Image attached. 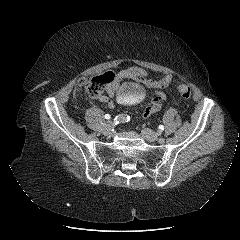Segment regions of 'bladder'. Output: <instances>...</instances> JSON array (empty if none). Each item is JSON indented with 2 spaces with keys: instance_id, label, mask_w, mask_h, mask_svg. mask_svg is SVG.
Here are the masks:
<instances>
[{
  "instance_id": "1",
  "label": "bladder",
  "mask_w": 240,
  "mask_h": 240,
  "mask_svg": "<svg viewBox=\"0 0 240 240\" xmlns=\"http://www.w3.org/2000/svg\"><path fill=\"white\" fill-rule=\"evenodd\" d=\"M120 97L125 102H130L140 94V88L136 84L127 83L119 89Z\"/></svg>"
}]
</instances>
